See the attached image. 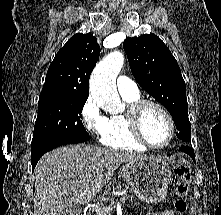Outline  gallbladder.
Returning a JSON list of instances; mask_svg holds the SVG:
<instances>
[{
	"label": "gallbladder",
	"mask_w": 221,
	"mask_h": 215,
	"mask_svg": "<svg viewBox=\"0 0 221 215\" xmlns=\"http://www.w3.org/2000/svg\"><path fill=\"white\" fill-rule=\"evenodd\" d=\"M65 215H81V211L77 206L73 205Z\"/></svg>",
	"instance_id": "1"
}]
</instances>
